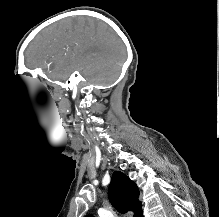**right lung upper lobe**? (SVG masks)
Segmentation results:
<instances>
[{
	"label": "right lung upper lobe",
	"instance_id": "right-lung-upper-lobe-1",
	"mask_svg": "<svg viewBox=\"0 0 219 217\" xmlns=\"http://www.w3.org/2000/svg\"><path fill=\"white\" fill-rule=\"evenodd\" d=\"M108 195L112 206L120 213L133 211L134 217H143L138 187L122 172L113 173Z\"/></svg>",
	"mask_w": 219,
	"mask_h": 217
}]
</instances>
